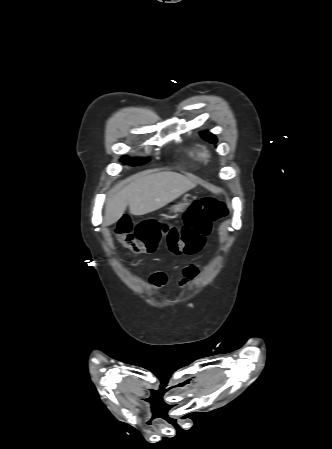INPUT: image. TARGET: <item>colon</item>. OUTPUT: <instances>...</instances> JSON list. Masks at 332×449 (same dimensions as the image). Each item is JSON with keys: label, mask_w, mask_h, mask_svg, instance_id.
Returning a JSON list of instances; mask_svg holds the SVG:
<instances>
[{"label": "colon", "mask_w": 332, "mask_h": 449, "mask_svg": "<svg viewBox=\"0 0 332 449\" xmlns=\"http://www.w3.org/2000/svg\"><path fill=\"white\" fill-rule=\"evenodd\" d=\"M226 213L224 203L213 197H204L196 200L185 212L181 228L153 221L140 222L134 227L129 220H120L114 234L134 253L155 252L162 236H165L167 248L173 255H194L210 233L211 223Z\"/></svg>", "instance_id": "5ec220e1"}]
</instances>
